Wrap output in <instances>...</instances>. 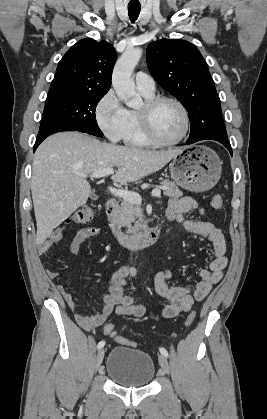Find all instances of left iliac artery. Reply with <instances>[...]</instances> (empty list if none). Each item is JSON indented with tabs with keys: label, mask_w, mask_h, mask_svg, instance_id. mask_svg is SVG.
Listing matches in <instances>:
<instances>
[{
	"label": "left iliac artery",
	"mask_w": 267,
	"mask_h": 419,
	"mask_svg": "<svg viewBox=\"0 0 267 419\" xmlns=\"http://www.w3.org/2000/svg\"><path fill=\"white\" fill-rule=\"evenodd\" d=\"M159 351H160V353H161L162 355H164L165 357H168V352H167V350H166L165 348L160 347V348H159Z\"/></svg>",
	"instance_id": "obj_1"
}]
</instances>
